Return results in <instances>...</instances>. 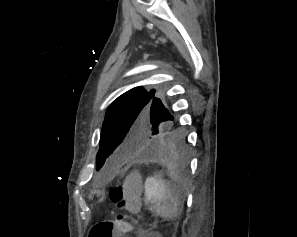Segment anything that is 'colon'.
I'll return each instance as SVG.
<instances>
[{"label": "colon", "mask_w": 297, "mask_h": 237, "mask_svg": "<svg viewBox=\"0 0 297 237\" xmlns=\"http://www.w3.org/2000/svg\"><path fill=\"white\" fill-rule=\"evenodd\" d=\"M139 191V179L127 176L121 186L110 190L109 196L119 210L135 212L139 206ZM132 229L133 226L119 215L114 220H103L93 225L88 237H121Z\"/></svg>", "instance_id": "colon-1"}]
</instances>
